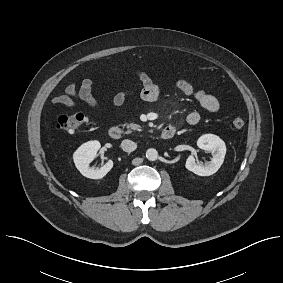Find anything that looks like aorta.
Listing matches in <instances>:
<instances>
[{
	"label": "aorta",
	"mask_w": 283,
	"mask_h": 283,
	"mask_svg": "<svg viewBox=\"0 0 283 283\" xmlns=\"http://www.w3.org/2000/svg\"><path fill=\"white\" fill-rule=\"evenodd\" d=\"M146 158L149 160V161H155L158 159V152L156 149L154 148H149L147 151H146Z\"/></svg>",
	"instance_id": "762f6f07"
}]
</instances>
